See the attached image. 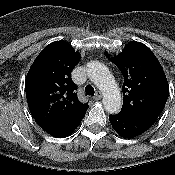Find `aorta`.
<instances>
[{"label": "aorta", "mask_w": 175, "mask_h": 175, "mask_svg": "<svg viewBox=\"0 0 175 175\" xmlns=\"http://www.w3.org/2000/svg\"><path fill=\"white\" fill-rule=\"evenodd\" d=\"M87 72L90 80L103 93L105 110L110 114L118 113L122 105L121 94L114 77L107 67L98 61H92L88 64Z\"/></svg>", "instance_id": "aorta-1"}]
</instances>
